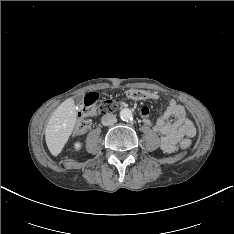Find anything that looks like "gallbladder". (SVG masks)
<instances>
[{"instance_id": "bac80fb5", "label": "gallbladder", "mask_w": 234, "mask_h": 234, "mask_svg": "<svg viewBox=\"0 0 234 234\" xmlns=\"http://www.w3.org/2000/svg\"><path fill=\"white\" fill-rule=\"evenodd\" d=\"M73 100L77 106H80L83 101V97L81 95H77L74 97Z\"/></svg>"}]
</instances>
